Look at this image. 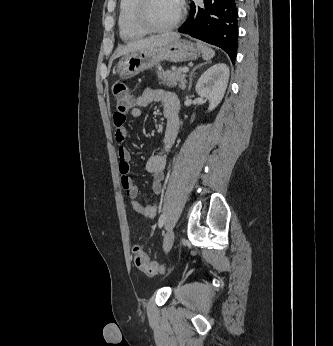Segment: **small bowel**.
Masks as SVG:
<instances>
[{
    "label": "small bowel",
    "mask_w": 333,
    "mask_h": 346,
    "mask_svg": "<svg viewBox=\"0 0 333 346\" xmlns=\"http://www.w3.org/2000/svg\"><path fill=\"white\" fill-rule=\"evenodd\" d=\"M152 102H157L162 105L163 115L167 122L160 151L149 157L146 162V170L152 176V191L155 195H159L163 188L162 184L166 165L165 152L176 139L180 129L179 99L177 94L171 90L148 87L135 99V106L129 113L130 118L133 120L139 118L141 115L140 108L146 107ZM113 123L116 128V139L118 142L122 143L127 137V130L124 127L125 119L121 116H116L113 119ZM117 156L119 160L121 184L128 197L131 199L132 209L145 218H154L157 212V207L155 205H145L137 199L139 188L130 177V151L121 146L118 148Z\"/></svg>",
    "instance_id": "small-bowel-1"
}]
</instances>
